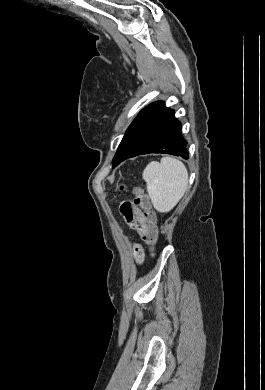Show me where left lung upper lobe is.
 <instances>
[{
  "label": "left lung upper lobe",
  "mask_w": 265,
  "mask_h": 390,
  "mask_svg": "<svg viewBox=\"0 0 265 390\" xmlns=\"http://www.w3.org/2000/svg\"><path fill=\"white\" fill-rule=\"evenodd\" d=\"M137 116H138V115H137ZM136 118H137V117H136ZM136 118L133 120V122H132V123L130 124V126L128 127V129H127V131H126V133H125V135H124V137H123V139H122V141H121V143H120V145H119V147H118V150H117V152H116V154H115V156H114V158H113V167H114V164L116 163V161H117V159H118V156H119L121 150H122L123 147L125 146V144H126L128 138H129V136H130V134H131V131H132V128H133V126H134V123H135Z\"/></svg>",
  "instance_id": "5c2ea615"
}]
</instances>
